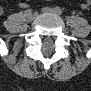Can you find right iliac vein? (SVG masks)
I'll return each instance as SVG.
<instances>
[{"label":"right iliac vein","instance_id":"right-iliac-vein-1","mask_svg":"<svg viewBox=\"0 0 91 91\" xmlns=\"http://www.w3.org/2000/svg\"><path fill=\"white\" fill-rule=\"evenodd\" d=\"M26 18L29 21H33L36 18V14L31 12V13H29V14L26 15Z\"/></svg>","mask_w":91,"mask_h":91}]
</instances>
